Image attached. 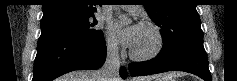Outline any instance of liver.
<instances>
[{
    "mask_svg": "<svg viewBox=\"0 0 237 81\" xmlns=\"http://www.w3.org/2000/svg\"><path fill=\"white\" fill-rule=\"evenodd\" d=\"M100 79V70H80L60 77L59 81H100ZM134 81H151V78L138 77Z\"/></svg>",
    "mask_w": 237,
    "mask_h": 81,
    "instance_id": "obj_1",
    "label": "liver"
}]
</instances>
